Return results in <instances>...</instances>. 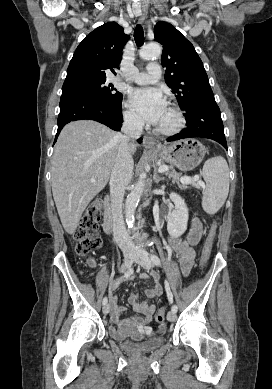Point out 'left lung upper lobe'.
I'll list each match as a JSON object with an SVG mask.
<instances>
[{"label":"left lung upper lobe","mask_w":272,"mask_h":389,"mask_svg":"<svg viewBox=\"0 0 272 389\" xmlns=\"http://www.w3.org/2000/svg\"><path fill=\"white\" fill-rule=\"evenodd\" d=\"M155 40L163 45L161 64L166 68L165 82L186 112L201 100L213 97L203 63L192 43L173 25L158 22Z\"/></svg>","instance_id":"obj_1"}]
</instances>
